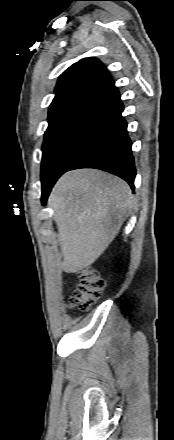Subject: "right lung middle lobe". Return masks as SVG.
<instances>
[{
  "mask_svg": "<svg viewBox=\"0 0 174 440\" xmlns=\"http://www.w3.org/2000/svg\"><path fill=\"white\" fill-rule=\"evenodd\" d=\"M98 106V97H90L48 116L42 146V186L54 184L75 160L92 128Z\"/></svg>",
  "mask_w": 174,
  "mask_h": 440,
  "instance_id": "1",
  "label": "right lung middle lobe"
}]
</instances>
